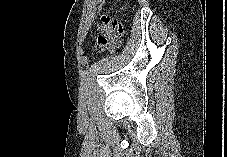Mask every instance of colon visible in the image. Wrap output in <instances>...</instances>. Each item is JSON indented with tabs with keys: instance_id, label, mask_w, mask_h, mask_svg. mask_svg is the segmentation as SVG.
Here are the masks:
<instances>
[{
	"instance_id": "1",
	"label": "colon",
	"mask_w": 227,
	"mask_h": 157,
	"mask_svg": "<svg viewBox=\"0 0 227 157\" xmlns=\"http://www.w3.org/2000/svg\"><path fill=\"white\" fill-rule=\"evenodd\" d=\"M98 31L99 37L94 47L97 52H113L120 46L124 35V28L121 23L103 17L98 26Z\"/></svg>"
}]
</instances>
